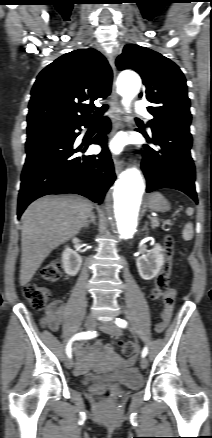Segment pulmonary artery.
Here are the masks:
<instances>
[{"label":"pulmonary artery","instance_id":"pulmonary-artery-1","mask_svg":"<svg viewBox=\"0 0 212 438\" xmlns=\"http://www.w3.org/2000/svg\"><path fill=\"white\" fill-rule=\"evenodd\" d=\"M147 104L145 101H139L134 105V112L137 114L147 115L149 118L151 115L147 112Z\"/></svg>","mask_w":212,"mask_h":438}]
</instances>
